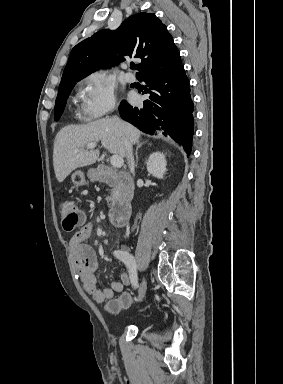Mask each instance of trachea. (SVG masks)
<instances>
[{
    "mask_svg": "<svg viewBox=\"0 0 283 384\" xmlns=\"http://www.w3.org/2000/svg\"><path fill=\"white\" fill-rule=\"evenodd\" d=\"M131 68H132V69H136V68H138V67H137V66H131Z\"/></svg>",
    "mask_w": 283,
    "mask_h": 384,
    "instance_id": "trachea-1",
    "label": "trachea"
}]
</instances>
